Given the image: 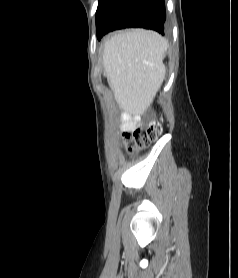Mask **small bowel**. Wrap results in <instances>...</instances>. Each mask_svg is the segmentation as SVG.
Masks as SVG:
<instances>
[{
	"mask_svg": "<svg viewBox=\"0 0 238 278\" xmlns=\"http://www.w3.org/2000/svg\"><path fill=\"white\" fill-rule=\"evenodd\" d=\"M140 122L139 117H131L127 114L121 115V127L125 131H132L135 129L136 125Z\"/></svg>",
	"mask_w": 238,
	"mask_h": 278,
	"instance_id": "1",
	"label": "small bowel"
}]
</instances>
